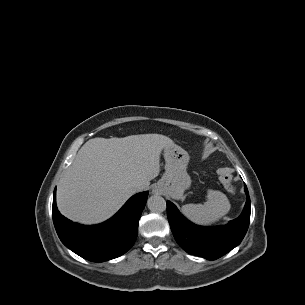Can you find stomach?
Returning a JSON list of instances; mask_svg holds the SVG:
<instances>
[{"mask_svg": "<svg viewBox=\"0 0 305 305\" xmlns=\"http://www.w3.org/2000/svg\"><path fill=\"white\" fill-rule=\"evenodd\" d=\"M165 173L155 186V191L174 199H183V194L191 185L186 168L189 162L188 153L180 146L164 148Z\"/></svg>", "mask_w": 305, "mask_h": 305, "instance_id": "stomach-1", "label": "stomach"}]
</instances>
